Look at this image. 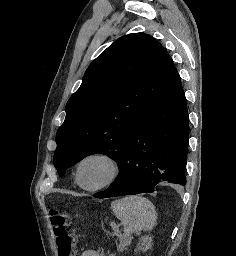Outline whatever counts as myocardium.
I'll list each match as a JSON object with an SVG mask.
<instances>
[{
    "instance_id": "1",
    "label": "myocardium",
    "mask_w": 236,
    "mask_h": 256,
    "mask_svg": "<svg viewBox=\"0 0 236 256\" xmlns=\"http://www.w3.org/2000/svg\"><path fill=\"white\" fill-rule=\"evenodd\" d=\"M91 158L105 159L111 165L112 172H111L110 176L104 182H102L98 185H95V186H86L82 183V180H81V167L84 162H86L87 160H89ZM121 169H122L121 163L114 154H112L111 152H108V151H94V152H90V153L84 155L82 158H80V160L78 161V163L76 165L75 177H76V181H77L78 185L80 187H82L83 189H85L87 191H97V190L106 188V187L110 186L111 184H113L118 179V177L121 173Z\"/></svg>"
}]
</instances>
